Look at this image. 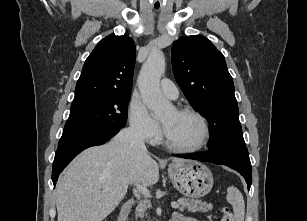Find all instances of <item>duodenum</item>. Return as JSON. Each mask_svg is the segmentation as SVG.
Returning a JSON list of instances; mask_svg holds the SVG:
<instances>
[{"instance_id":"obj_1","label":"duodenum","mask_w":307,"mask_h":221,"mask_svg":"<svg viewBox=\"0 0 307 221\" xmlns=\"http://www.w3.org/2000/svg\"><path fill=\"white\" fill-rule=\"evenodd\" d=\"M134 205V200H128L121 208L118 221H128L129 212Z\"/></svg>"}]
</instances>
